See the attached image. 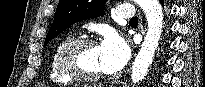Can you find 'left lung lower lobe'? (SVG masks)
<instances>
[{
	"mask_svg": "<svg viewBox=\"0 0 205 87\" xmlns=\"http://www.w3.org/2000/svg\"><path fill=\"white\" fill-rule=\"evenodd\" d=\"M160 2L162 3V5L164 6V0H160Z\"/></svg>",
	"mask_w": 205,
	"mask_h": 87,
	"instance_id": "0a47b994",
	"label": "left lung lower lobe"
}]
</instances>
